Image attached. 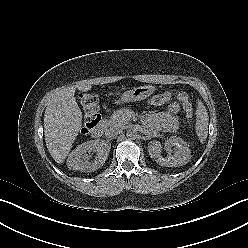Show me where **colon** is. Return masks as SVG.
Returning <instances> with one entry per match:
<instances>
[{
  "instance_id": "obj_1",
  "label": "colon",
  "mask_w": 248,
  "mask_h": 248,
  "mask_svg": "<svg viewBox=\"0 0 248 248\" xmlns=\"http://www.w3.org/2000/svg\"><path fill=\"white\" fill-rule=\"evenodd\" d=\"M169 92L160 93L152 97L151 102L155 105H162L172 98ZM176 99L183 105L187 117L191 118L193 114L192 104L185 92H179L175 95ZM80 103L85 112L83 131L88 133L92 131L101 119L99 113V100L95 94L83 93L80 95Z\"/></svg>"
}]
</instances>
